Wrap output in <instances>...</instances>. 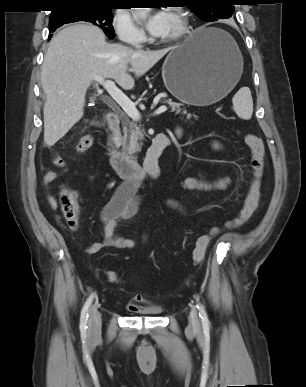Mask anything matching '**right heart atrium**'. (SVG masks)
Wrapping results in <instances>:
<instances>
[{
    "label": "right heart atrium",
    "mask_w": 306,
    "mask_h": 387,
    "mask_svg": "<svg viewBox=\"0 0 306 387\" xmlns=\"http://www.w3.org/2000/svg\"><path fill=\"white\" fill-rule=\"evenodd\" d=\"M114 31L120 41L137 45L145 40L143 30L136 25L129 13L118 11L112 21Z\"/></svg>",
    "instance_id": "obj_1"
}]
</instances>
